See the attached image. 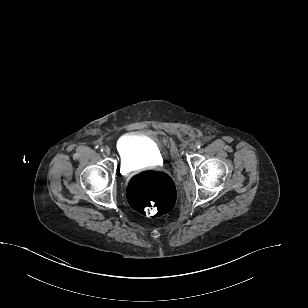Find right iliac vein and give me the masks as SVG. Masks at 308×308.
Segmentation results:
<instances>
[{"mask_svg": "<svg viewBox=\"0 0 308 308\" xmlns=\"http://www.w3.org/2000/svg\"><path fill=\"white\" fill-rule=\"evenodd\" d=\"M104 153L107 154V155H109V154H110V150H109L108 148H105V149H104Z\"/></svg>", "mask_w": 308, "mask_h": 308, "instance_id": "obj_1", "label": "right iliac vein"}]
</instances>
